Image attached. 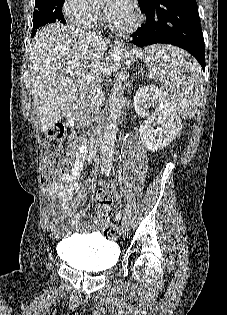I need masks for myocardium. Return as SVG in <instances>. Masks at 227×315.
<instances>
[{
    "label": "myocardium",
    "mask_w": 227,
    "mask_h": 315,
    "mask_svg": "<svg viewBox=\"0 0 227 315\" xmlns=\"http://www.w3.org/2000/svg\"><path fill=\"white\" fill-rule=\"evenodd\" d=\"M131 16H132V22L125 27L117 26V25L113 24L111 21H109L108 19H107V24L114 31H117L120 33H131L137 29V27L140 25V21H141L140 16L136 10L132 11Z\"/></svg>",
    "instance_id": "1"
}]
</instances>
